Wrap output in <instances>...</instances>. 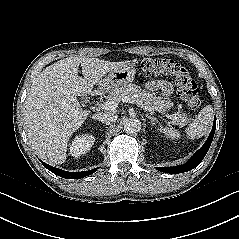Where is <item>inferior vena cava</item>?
I'll use <instances>...</instances> for the list:
<instances>
[{"mask_svg": "<svg viewBox=\"0 0 239 239\" xmlns=\"http://www.w3.org/2000/svg\"><path fill=\"white\" fill-rule=\"evenodd\" d=\"M92 118L101 121L107 125H110L117 120V116L113 113H98L93 115Z\"/></svg>", "mask_w": 239, "mask_h": 239, "instance_id": "obj_1", "label": "inferior vena cava"}]
</instances>
